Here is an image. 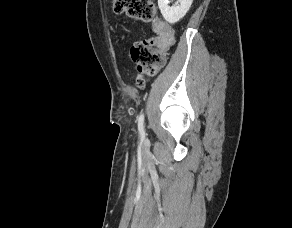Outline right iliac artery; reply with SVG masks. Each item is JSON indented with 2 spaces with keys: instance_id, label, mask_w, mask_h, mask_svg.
<instances>
[{
  "instance_id": "82829eb1",
  "label": "right iliac artery",
  "mask_w": 292,
  "mask_h": 228,
  "mask_svg": "<svg viewBox=\"0 0 292 228\" xmlns=\"http://www.w3.org/2000/svg\"><path fill=\"white\" fill-rule=\"evenodd\" d=\"M138 130H139V133L143 136L144 135V115L143 114L139 116Z\"/></svg>"
}]
</instances>
